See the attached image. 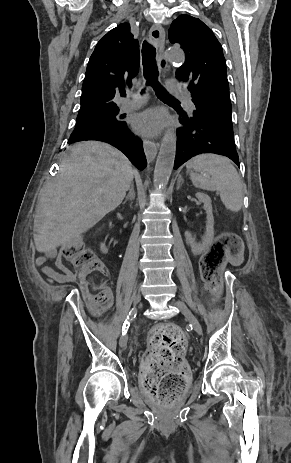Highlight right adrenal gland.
<instances>
[{"instance_id":"right-adrenal-gland-1","label":"right adrenal gland","mask_w":291,"mask_h":463,"mask_svg":"<svg viewBox=\"0 0 291 463\" xmlns=\"http://www.w3.org/2000/svg\"><path fill=\"white\" fill-rule=\"evenodd\" d=\"M134 198H135L134 186L131 185V188L129 189V193L126 196L125 201L123 202V204H125L128 200L132 202L134 200Z\"/></svg>"}]
</instances>
